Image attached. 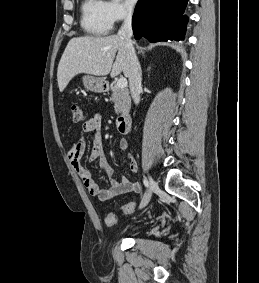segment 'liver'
Returning a JSON list of instances; mask_svg holds the SVG:
<instances>
[{"instance_id":"6515ba94","label":"liver","mask_w":259,"mask_h":283,"mask_svg":"<svg viewBox=\"0 0 259 283\" xmlns=\"http://www.w3.org/2000/svg\"><path fill=\"white\" fill-rule=\"evenodd\" d=\"M121 72L126 77L129 76V54L122 37H75L68 42L60 59L57 70L58 87L62 92L69 81L80 73L94 76H106L110 73L111 77H115Z\"/></svg>"}]
</instances>
